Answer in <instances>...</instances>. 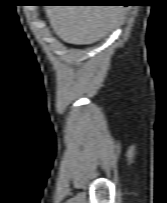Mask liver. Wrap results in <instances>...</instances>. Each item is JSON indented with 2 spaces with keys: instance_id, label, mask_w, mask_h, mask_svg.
Returning <instances> with one entry per match:
<instances>
[{
  "instance_id": "liver-1",
  "label": "liver",
  "mask_w": 167,
  "mask_h": 203,
  "mask_svg": "<svg viewBox=\"0 0 167 203\" xmlns=\"http://www.w3.org/2000/svg\"><path fill=\"white\" fill-rule=\"evenodd\" d=\"M45 10L57 36L77 45L100 40L116 27L123 13L121 6L52 5Z\"/></svg>"
}]
</instances>
